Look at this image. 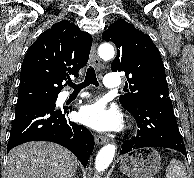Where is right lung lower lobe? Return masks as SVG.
I'll list each match as a JSON object with an SVG mask.
<instances>
[{
  "instance_id": "right-lung-lower-lobe-1",
  "label": "right lung lower lobe",
  "mask_w": 194,
  "mask_h": 178,
  "mask_svg": "<svg viewBox=\"0 0 194 178\" xmlns=\"http://www.w3.org/2000/svg\"><path fill=\"white\" fill-rule=\"evenodd\" d=\"M71 109H55V102L17 104L7 152L28 141H51L72 151L86 167L94 148V138L86 127L65 117Z\"/></svg>"
}]
</instances>
